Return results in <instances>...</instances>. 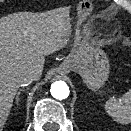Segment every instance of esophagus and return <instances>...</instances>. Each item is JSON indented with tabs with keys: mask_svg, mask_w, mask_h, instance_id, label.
<instances>
[{
	"mask_svg": "<svg viewBox=\"0 0 131 131\" xmlns=\"http://www.w3.org/2000/svg\"><path fill=\"white\" fill-rule=\"evenodd\" d=\"M68 68H69V66H68L67 64H63V65L60 67L59 72H60L61 74H66V73L68 72Z\"/></svg>",
	"mask_w": 131,
	"mask_h": 131,
	"instance_id": "1",
	"label": "esophagus"
}]
</instances>
